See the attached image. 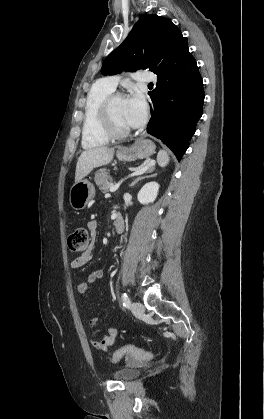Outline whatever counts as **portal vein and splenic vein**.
<instances>
[{"mask_svg":"<svg viewBox=\"0 0 264 419\" xmlns=\"http://www.w3.org/2000/svg\"><path fill=\"white\" fill-rule=\"evenodd\" d=\"M148 166H151L150 164ZM148 167H143V168H139V169H133L134 172L130 175V176H135L138 174H141L143 172H145L147 170ZM122 182V181H121ZM121 182H119L118 184L112 185L109 189L110 192H115L116 190H118Z\"/></svg>","mask_w":264,"mask_h":419,"instance_id":"obj_1","label":"portal vein and splenic vein"}]
</instances>
